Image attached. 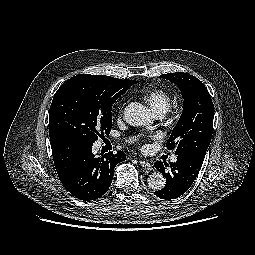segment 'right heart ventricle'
I'll list each match as a JSON object with an SVG mask.
<instances>
[{
  "label": "right heart ventricle",
  "instance_id": "right-heart-ventricle-1",
  "mask_svg": "<svg viewBox=\"0 0 255 255\" xmlns=\"http://www.w3.org/2000/svg\"><path fill=\"white\" fill-rule=\"evenodd\" d=\"M150 108L157 113H165L171 105V96L163 89H153L144 96Z\"/></svg>",
  "mask_w": 255,
  "mask_h": 255
}]
</instances>
